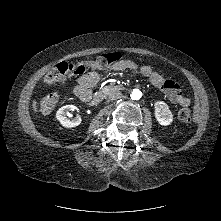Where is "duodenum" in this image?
<instances>
[{
  "mask_svg": "<svg viewBox=\"0 0 221 221\" xmlns=\"http://www.w3.org/2000/svg\"><path fill=\"white\" fill-rule=\"evenodd\" d=\"M119 89L118 87H107L104 88L100 91H98L95 95H91L90 97H88L85 102L88 103H99L101 102L112 90H116Z\"/></svg>",
  "mask_w": 221,
  "mask_h": 221,
  "instance_id": "1",
  "label": "duodenum"
}]
</instances>
